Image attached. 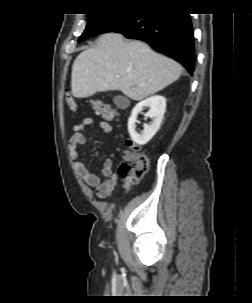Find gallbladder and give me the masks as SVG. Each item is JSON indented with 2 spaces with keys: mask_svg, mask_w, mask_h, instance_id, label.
Masks as SVG:
<instances>
[{
  "mask_svg": "<svg viewBox=\"0 0 252 303\" xmlns=\"http://www.w3.org/2000/svg\"><path fill=\"white\" fill-rule=\"evenodd\" d=\"M114 104L119 108H124L126 106L127 98L122 95H117L113 98Z\"/></svg>",
  "mask_w": 252,
  "mask_h": 303,
  "instance_id": "obj_1",
  "label": "gallbladder"
}]
</instances>
